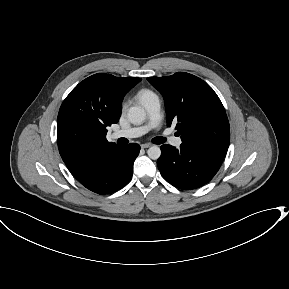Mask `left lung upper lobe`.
I'll return each mask as SVG.
<instances>
[{
  "instance_id": "left-lung-upper-lobe-1",
  "label": "left lung upper lobe",
  "mask_w": 289,
  "mask_h": 289,
  "mask_svg": "<svg viewBox=\"0 0 289 289\" xmlns=\"http://www.w3.org/2000/svg\"><path fill=\"white\" fill-rule=\"evenodd\" d=\"M148 81L162 94L168 126L176 124L182 144L224 158L230 127L214 90L202 79L185 72L149 77Z\"/></svg>"
}]
</instances>
